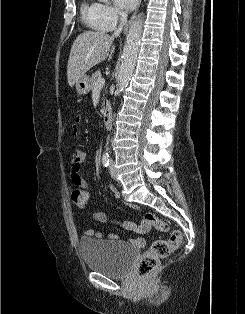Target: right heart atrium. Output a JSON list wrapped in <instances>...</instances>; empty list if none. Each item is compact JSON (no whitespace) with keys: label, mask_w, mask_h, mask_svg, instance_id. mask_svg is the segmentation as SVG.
<instances>
[{"label":"right heart atrium","mask_w":245,"mask_h":314,"mask_svg":"<svg viewBox=\"0 0 245 314\" xmlns=\"http://www.w3.org/2000/svg\"><path fill=\"white\" fill-rule=\"evenodd\" d=\"M97 9V26L102 31H111L120 22L122 14L112 5L96 4Z\"/></svg>","instance_id":"right-heart-atrium-1"}]
</instances>
